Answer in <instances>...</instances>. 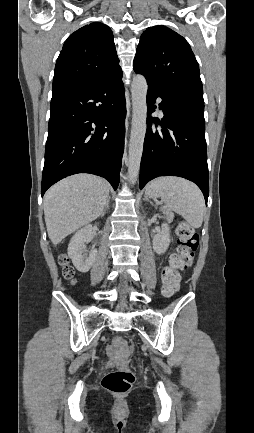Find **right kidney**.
Returning a JSON list of instances; mask_svg holds the SVG:
<instances>
[{
    "mask_svg": "<svg viewBox=\"0 0 254 433\" xmlns=\"http://www.w3.org/2000/svg\"><path fill=\"white\" fill-rule=\"evenodd\" d=\"M92 229V225L80 229L74 234L68 245V255L76 269L82 273L90 270L97 255V250L94 247L90 251L86 249V244L93 237Z\"/></svg>",
    "mask_w": 254,
    "mask_h": 433,
    "instance_id": "1",
    "label": "right kidney"
}]
</instances>
